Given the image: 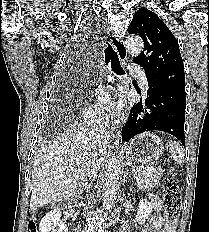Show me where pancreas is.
I'll use <instances>...</instances> for the list:
<instances>
[{"label":"pancreas","instance_id":"pancreas-1","mask_svg":"<svg viewBox=\"0 0 209 232\" xmlns=\"http://www.w3.org/2000/svg\"><path fill=\"white\" fill-rule=\"evenodd\" d=\"M161 175V169L156 168L148 169L145 167L144 169H141L140 167H137L134 172L139 189H151L154 186L159 185Z\"/></svg>","mask_w":209,"mask_h":232}]
</instances>
